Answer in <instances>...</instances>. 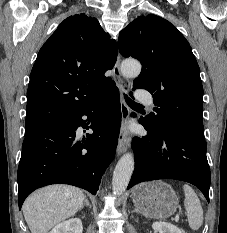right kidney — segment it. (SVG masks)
<instances>
[{"label":"right kidney","instance_id":"ca27d5eb","mask_svg":"<svg viewBox=\"0 0 227 233\" xmlns=\"http://www.w3.org/2000/svg\"><path fill=\"white\" fill-rule=\"evenodd\" d=\"M82 221L79 218H72L56 225L49 233H82Z\"/></svg>","mask_w":227,"mask_h":233}]
</instances>
